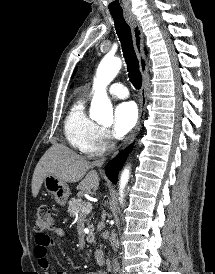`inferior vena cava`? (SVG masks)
<instances>
[{"label": "inferior vena cava", "instance_id": "602c4592", "mask_svg": "<svg viewBox=\"0 0 215 274\" xmlns=\"http://www.w3.org/2000/svg\"><path fill=\"white\" fill-rule=\"evenodd\" d=\"M115 148V144L113 142H111L108 146H107V150L108 152H111L112 150H114ZM105 161V157L99 159V160H96L93 162V165L94 166H102L103 163ZM113 268L114 269H119V263L117 262V259H113Z\"/></svg>", "mask_w": 215, "mask_h": 274}]
</instances>
